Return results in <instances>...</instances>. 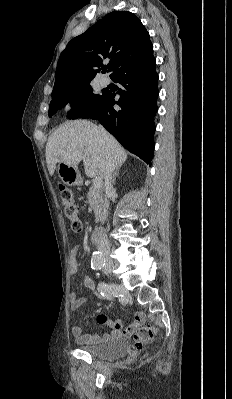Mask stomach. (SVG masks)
<instances>
[{
  "mask_svg": "<svg viewBox=\"0 0 232 399\" xmlns=\"http://www.w3.org/2000/svg\"><path fill=\"white\" fill-rule=\"evenodd\" d=\"M57 174L60 180L64 182L65 186H80L82 182L78 168L67 166V164H63V162H59L57 166Z\"/></svg>",
  "mask_w": 232,
  "mask_h": 399,
  "instance_id": "obj_1",
  "label": "stomach"
}]
</instances>
